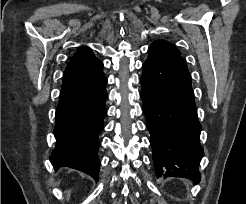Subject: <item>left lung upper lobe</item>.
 <instances>
[{
  "mask_svg": "<svg viewBox=\"0 0 246 204\" xmlns=\"http://www.w3.org/2000/svg\"><path fill=\"white\" fill-rule=\"evenodd\" d=\"M152 44H157V45H161V46H164L166 48H169L177 53L180 54L179 50L171 43L167 42V41H164V40H161V41H155L153 42Z\"/></svg>",
  "mask_w": 246,
  "mask_h": 204,
  "instance_id": "obj_1",
  "label": "left lung upper lobe"
}]
</instances>
